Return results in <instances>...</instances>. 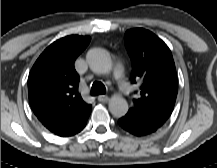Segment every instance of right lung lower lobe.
<instances>
[{"label": "right lung lower lobe", "instance_id": "obj_1", "mask_svg": "<svg viewBox=\"0 0 217 168\" xmlns=\"http://www.w3.org/2000/svg\"><path fill=\"white\" fill-rule=\"evenodd\" d=\"M83 128H84V127H83ZM83 128H82V129H83ZM82 129H81V130H82ZM81 130H80V131H81ZM80 131H78V132H80ZM78 132H77V133H78ZM75 134H76V133H75ZM73 135H74V134H73Z\"/></svg>", "mask_w": 217, "mask_h": 168}]
</instances>
